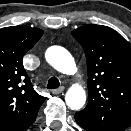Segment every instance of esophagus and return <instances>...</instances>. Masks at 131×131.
<instances>
[{"mask_svg":"<svg viewBox=\"0 0 131 131\" xmlns=\"http://www.w3.org/2000/svg\"><path fill=\"white\" fill-rule=\"evenodd\" d=\"M63 91H64V87L51 90L52 94H55V95L61 94Z\"/></svg>","mask_w":131,"mask_h":131,"instance_id":"esophagus-1","label":"esophagus"}]
</instances>
